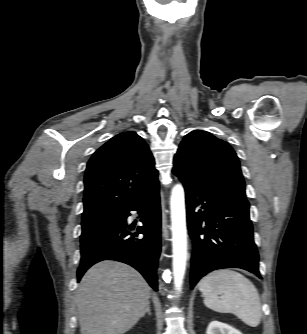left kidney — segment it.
Returning <instances> with one entry per match:
<instances>
[{"label":"left kidney","instance_id":"obj_1","mask_svg":"<svg viewBox=\"0 0 307 334\" xmlns=\"http://www.w3.org/2000/svg\"><path fill=\"white\" fill-rule=\"evenodd\" d=\"M206 334H242L233 327L221 323L219 321H212L207 327Z\"/></svg>","mask_w":307,"mask_h":334}]
</instances>
